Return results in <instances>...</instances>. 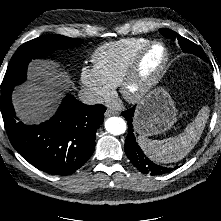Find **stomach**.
Instances as JSON below:
<instances>
[{
  "label": "stomach",
  "mask_w": 221,
  "mask_h": 221,
  "mask_svg": "<svg viewBox=\"0 0 221 221\" xmlns=\"http://www.w3.org/2000/svg\"><path fill=\"white\" fill-rule=\"evenodd\" d=\"M177 119V110L168 91L158 87L146 94L134 115L135 130L143 136H153L169 130Z\"/></svg>",
  "instance_id": "0dacf381"
}]
</instances>
